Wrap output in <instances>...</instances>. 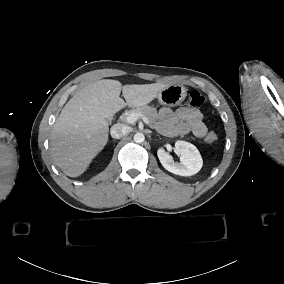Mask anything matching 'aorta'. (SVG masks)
I'll use <instances>...</instances> for the list:
<instances>
[{
    "mask_svg": "<svg viewBox=\"0 0 284 284\" xmlns=\"http://www.w3.org/2000/svg\"><path fill=\"white\" fill-rule=\"evenodd\" d=\"M134 141L136 143H142L145 140V136L143 133L137 132L134 137H133Z\"/></svg>",
    "mask_w": 284,
    "mask_h": 284,
    "instance_id": "1",
    "label": "aorta"
}]
</instances>
